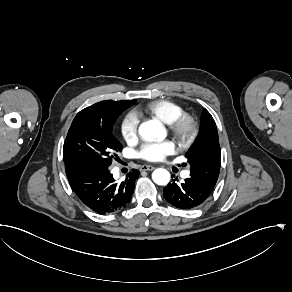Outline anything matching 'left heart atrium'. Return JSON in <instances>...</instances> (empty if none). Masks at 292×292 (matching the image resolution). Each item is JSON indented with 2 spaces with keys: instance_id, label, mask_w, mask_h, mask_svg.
I'll return each instance as SVG.
<instances>
[{
  "instance_id": "1",
  "label": "left heart atrium",
  "mask_w": 292,
  "mask_h": 292,
  "mask_svg": "<svg viewBox=\"0 0 292 292\" xmlns=\"http://www.w3.org/2000/svg\"><path fill=\"white\" fill-rule=\"evenodd\" d=\"M175 152L176 146L172 141H153L146 143L142 147L139 156L150 162H159Z\"/></svg>"
}]
</instances>
